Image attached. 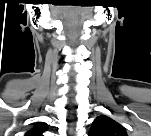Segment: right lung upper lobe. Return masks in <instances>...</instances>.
I'll return each instance as SVG.
<instances>
[{
    "label": "right lung upper lobe",
    "mask_w": 151,
    "mask_h": 136,
    "mask_svg": "<svg viewBox=\"0 0 151 136\" xmlns=\"http://www.w3.org/2000/svg\"><path fill=\"white\" fill-rule=\"evenodd\" d=\"M47 128L45 126V123L37 122L35 126L27 132V136H42L41 134L46 131Z\"/></svg>",
    "instance_id": "right-lung-upper-lobe-1"
}]
</instances>
